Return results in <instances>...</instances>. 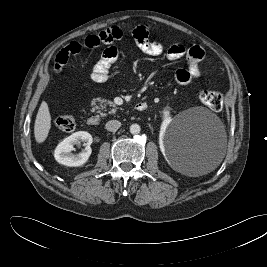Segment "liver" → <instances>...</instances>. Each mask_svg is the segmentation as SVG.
Wrapping results in <instances>:
<instances>
[{
  "label": "liver",
  "mask_w": 267,
  "mask_h": 267,
  "mask_svg": "<svg viewBox=\"0 0 267 267\" xmlns=\"http://www.w3.org/2000/svg\"><path fill=\"white\" fill-rule=\"evenodd\" d=\"M51 128V115L48 104L43 101L36 115L34 136L37 143H43L48 137Z\"/></svg>",
  "instance_id": "6515ba94"
}]
</instances>
